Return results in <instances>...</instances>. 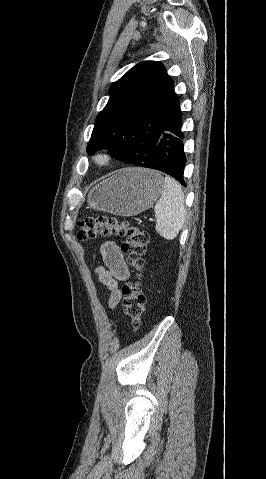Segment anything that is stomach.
<instances>
[{"instance_id":"stomach-1","label":"stomach","mask_w":266,"mask_h":479,"mask_svg":"<svg viewBox=\"0 0 266 479\" xmlns=\"http://www.w3.org/2000/svg\"><path fill=\"white\" fill-rule=\"evenodd\" d=\"M163 191L160 173L143 168L120 170L98 185L88 195V204L119 216H134L149 209Z\"/></svg>"}]
</instances>
